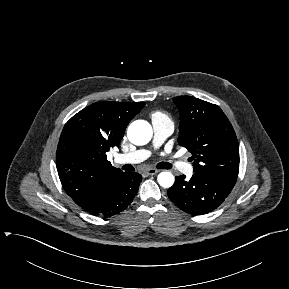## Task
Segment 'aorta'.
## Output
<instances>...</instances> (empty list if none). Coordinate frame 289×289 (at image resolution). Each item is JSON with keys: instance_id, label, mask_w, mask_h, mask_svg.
Returning a JSON list of instances; mask_svg holds the SVG:
<instances>
[{"instance_id": "1", "label": "aorta", "mask_w": 289, "mask_h": 289, "mask_svg": "<svg viewBox=\"0 0 289 289\" xmlns=\"http://www.w3.org/2000/svg\"><path fill=\"white\" fill-rule=\"evenodd\" d=\"M152 134L153 131L151 125L144 120H136L132 122L127 130L129 141L138 146L147 144L151 140ZM157 181L161 187L170 188L173 186L175 178L171 172L164 171L159 173Z\"/></svg>"}]
</instances>
